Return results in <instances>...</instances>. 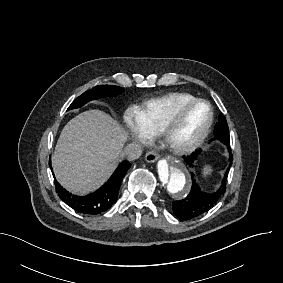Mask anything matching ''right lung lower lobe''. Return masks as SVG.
Instances as JSON below:
<instances>
[{
  "instance_id": "98d812e1",
  "label": "right lung lower lobe",
  "mask_w": 283,
  "mask_h": 283,
  "mask_svg": "<svg viewBox=\"0 0 283 283\" xmlns=\"http://www.w3.org/2000/svg\"><path fill=\"white\" fill-rule=\"evenodd\" d=\"M49 165L51 166L50 161ZM130 166L131 164H129L128 161H123L115 170L111 178L97 191L89 195H72L58 182H55L56 192L66 204L77 212L87 215H97L107 211L113 203L116 202L121 182Z\"/></svg>"
}]
</instances>
